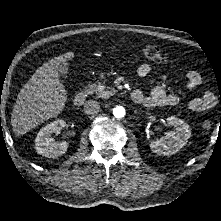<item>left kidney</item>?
<instances>
[{
  "label": "left kidney",
  "mask_w": 221,
  "mask_h": 221,
  "mask_svg": "<svg viewBox=\"0 0 221 221\" xmlns=\"http://www.w3.org/2000/svg\"><path fill=\"white\" fill-rule=\"evenodd\" d=\"M169 126L174 129L158 140L151 141L149 147L152 152L159 155H172L183 148L191 136L189 125L182 119L170 116L166 119Z\"/></svg>",
  "instance_id": "5707ae66"
}]
</instances>
